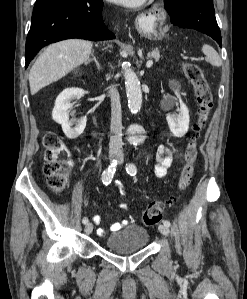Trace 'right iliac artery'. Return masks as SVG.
Returning a JSON list of instances; mask_svg holds the SVG:
<instances>
[{"label":"right iliac artery","mask_w":247,"mask_h":299,"mask_svg":"<svg viewBox=\"0 0 247 299\" xmlns=\"http://www.w3.org/2000/svg\"><path fill=\"white\" fill-rule=\"evenodd\" d=\"M117 164H118V160H113L112 163L109 165V167L103 172L102 174L103 184L108 185L111 183L112 178L116 171ZM82 223L83 224L88 223V218L84 217Z\"/></svg>","instance_id":"1"}]
</instances>
